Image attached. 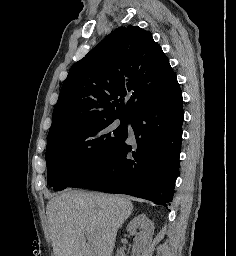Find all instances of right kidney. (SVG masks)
I'll use <instances>...</instances> for the list:
<instances>
[{
  "label": "right kidney",
  "mask_w": 236,
  "mask_h": 256,
  "mask_svg": "<svg viewBox=\"0 0 236 256\" xmlns=\"http://www.w3.org/2000/svg\"><path fill=\"white\" fill-rule=\"evenodd\" d=\"M136 230H140V232H136ZM154 230L153 222H150L145 214H139V216L131 220L127 226V232L135 236V244L132 250L133 256H145L146 250L151 246ZM119 252L121 256L122 250H119Z\"/></svg>",
  "instance_id": "right-kidney-1"
}]
</instances>
